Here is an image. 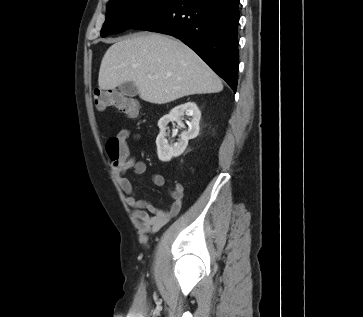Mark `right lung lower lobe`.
Listing matches in <instances>:
<instances>
[{"instance_id": "obj_1", "label": "right lung lower lobe", "mask_w": 363, "mask_h": 317, "mask_svg": "<svg viewBox=\"0 0 363 317\" xmlns=\"http://www.w3.org/2000/svg\"><path fill=\"white\" fill-rule=\"evenodd\" d=\"M239 16V0H177L133 28L180 39L236 92Z\"/></svg>"}]
</instances>
